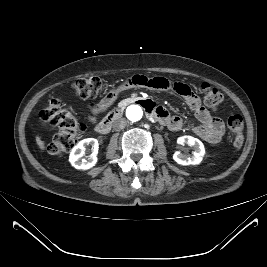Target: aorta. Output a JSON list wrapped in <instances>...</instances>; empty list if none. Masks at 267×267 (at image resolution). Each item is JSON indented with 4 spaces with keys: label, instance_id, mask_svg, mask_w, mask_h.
Wrapping results in <instances>:
<instances>
[{
    "label": "aorta",
    "instance_id": "1",
    "mask_svg": "<svg viewBox=\"0 0 267 267\" xmlns=\"http://www.w3.org/2000/svg\"><path fill=\"white\" fill-rule=\"evenodd\" d=\"M127 118L132 122L139 121L143 116V110L139 105H131L126 110Z\"/></svg>",
    "mask_w": 267,
    "mask_h": 267
}]
</instances>
